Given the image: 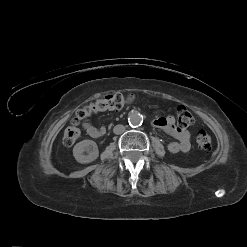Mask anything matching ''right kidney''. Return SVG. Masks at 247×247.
I'll return each instance as SVG.
<instances>
[{
  "mask_svg": "<svg viewBox=\"0 0 247 247\" xmlns=\"http://www.w3.org/2000/svg\"><path fill=\"white\" fill-rule=\"evenodd\" d=\"M88 151V155L84 152ZM73 156L76 161L82 164L93 162L99 156L97 145L92 140H83L73 148Z\"/></svg>",
  "mask_w": 247,
  "mask_h": 247,
  "instance_id": "right-kidney-1",
  "label": "right kidney"
}]
</instances>
